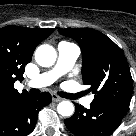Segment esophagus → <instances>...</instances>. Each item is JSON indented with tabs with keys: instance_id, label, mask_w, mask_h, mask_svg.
<instances>
[{
	"instance_id": "1",
	"label": "esophagus",
	"mask_w": 136,
	"mask_h": 136,
	"mask_svg": "<svg viewBox=\"0 0 136 136\" xmlns=\"http://www.w3.org/2000/svg\"><path fill=\"white\" fill-rule=\"evenodd\" d=\"M52 100H53L54 102H60V101H62V98L59 97V96L56 95V94H52Z\"/></svg>"
}]
</instances>
